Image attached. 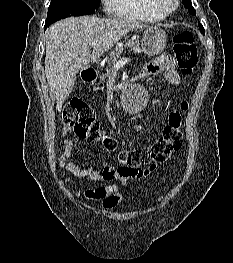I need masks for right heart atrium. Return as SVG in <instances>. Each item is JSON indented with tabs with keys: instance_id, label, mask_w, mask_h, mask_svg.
Masks as SVG:
<instances>
[{
	"instance_id": "obj_1",
	"label": "right heart atrium",
	"mask_w": 233,
	"mask_h": 263,
	"mask_svg": "<svg viewBox=\"0 0 233 263\" xmlns=\"http://www.w3.org/2000/svg\"><path fill=\"white\" fill-rule=\"evenodd\" d=\"M114 1L115 0H102L103 6L106 11H114Z\"/></svg>"
}]
</instances>
